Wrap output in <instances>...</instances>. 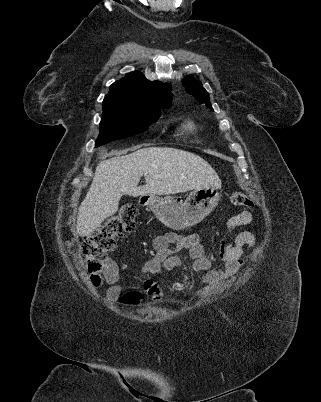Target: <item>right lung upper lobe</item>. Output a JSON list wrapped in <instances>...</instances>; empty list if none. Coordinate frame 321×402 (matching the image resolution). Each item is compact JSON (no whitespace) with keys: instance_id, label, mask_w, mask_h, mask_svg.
Wrapping results in <instances>:
<instances>
[{"instance_id":"obj_1","label":"right lung upper lobe","mask_w":321,"mask_h":402,"mask_svg":"<svg viewBox=\"0 0 321 402\" xmlns=\"http://www.w3.org/2000/svg\"><path fill=\"white\" fill-rule=\"evenodd\" d=\"M171 85L158 81L151 82L136 71L128 73L123 79L110 86L104 101L124 102L146 107H165L171 105Z\"/></svg>"}]
</instances>
